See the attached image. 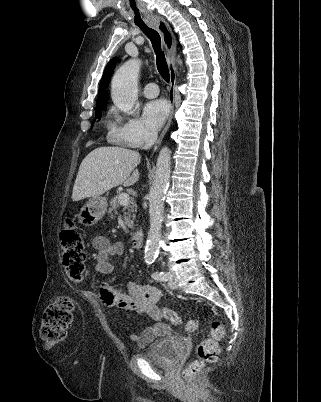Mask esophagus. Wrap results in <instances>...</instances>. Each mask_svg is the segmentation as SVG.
<instances>
[{
	"label": "esophagus",
	"instance_id": "1",
	"mask_svg": "<svg viewBox=\"0 0 321 402\" xmlns=\"http://www.w3.org/2000/svg\"><path fill=\"white\" fill-rule=\"evenodd\" d=\"M152 26H155L162 35V41L165 48L166 53V61L170 73V84H169V92H168V100L170 105V114L168 121L161 132L158 140L156 141L153 147V153L157 151L159 148L173 118L174 114V102H175V86H176V66H175V55H176V39L172 32L170 25L161 17L154 18L151 23Z\"/></svg>",
	"mask_w": 321,
	"mask_h": 402
}]
</instances>
